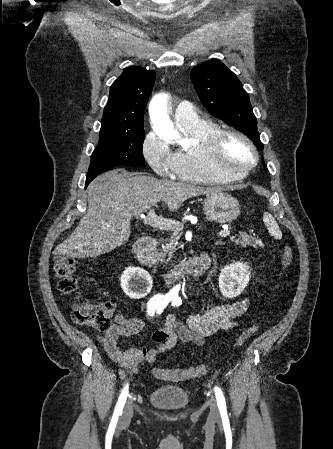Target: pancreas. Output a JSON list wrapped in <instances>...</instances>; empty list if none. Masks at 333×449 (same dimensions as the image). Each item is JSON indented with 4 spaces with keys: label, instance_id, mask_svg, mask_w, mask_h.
Here are the masks:
<instances>
[{
    "label": "pancreas",
    "instance_id": "obj_1",
    "mask_svg": "<svg viewBox=\"0 0 333 449\" xmlns=\"http://www.w3.org/2000/svg\"><path fill=\"white\" fill-rule=\"evenodd\" d=\"M235 237H238L235 240V243L240 244L242 247L251 246V247L257 249L259 246H261V241L258 240V238L251 236V235L247 234L246 232H240L238 235H235ZM178 238H179L178 233H174L171 236V243L166 245L164 253L162 254L161 257H158V260L163 261L164 258L166 257V254H167L168 260H170L172 258L173 252L175 251V248H174V246H172V243L175 240H178Z\"/></svg>",
    "mask_w": 333,
    "mask_h": 449
}]
</instances>
